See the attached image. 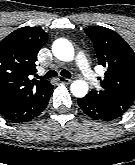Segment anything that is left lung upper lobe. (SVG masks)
<instances>
[{"label": "left lung upper lobe", "mask_w": 135, "mask_h": 165, "mask_svg": "<svg viewBox=\"0 0 135 165\" xmlns=\"http://www.w3.org/2000/svg\"><path fill=\"white\" fill-rule=\"evenodd\" d=\"M85 32L94 44L99 64L106 69L105 78L100 80L101 89L88 94L124 114L135 100V53L111 29L92 26Z\"/></svg>", "instance_id": "obj_1"}]
</instances>
